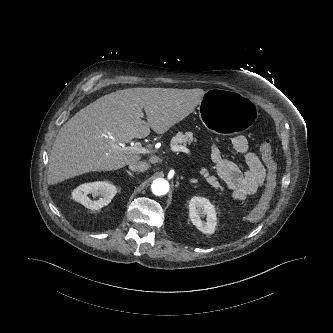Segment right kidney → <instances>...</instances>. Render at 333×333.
<instances>
[{"mask_svg":"<svg viewBox=\"0 0 333 333\" xmlns=\"http://www.w3.org/2000/svg\"><path fill=\"white\" fill-rule=\"evenodd\" d=\"M116 193L117 189L113 184L99 181L80 185L73 191L72 198L89 209L98 210L108 205ZM88 194L101 197L98 200H91Z\"/></svg>","mask_w":333,"mask_h":333,"instance_id":"1","label":"right kidney"}]
</instances>
